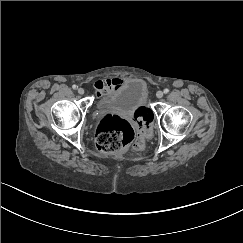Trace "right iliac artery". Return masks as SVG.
I'll return each instance as SVG.
<instances>
[{
    "instance_id": "obj_1",
    "label": "right iliac artery",
    "mask_w": 243,
    "mask_h": 243,
    "mask_svg": "<svg viewBox=\"0 0 243 243\" xmlns=\"http://www.w3.org/2000/svg\"><path fill=\"white\" fill-rule=\"evenodd\" d=\"M72 88H73V89H77L78 87H77L76 85H73Z\"/></svg>"
}]
</instances>
